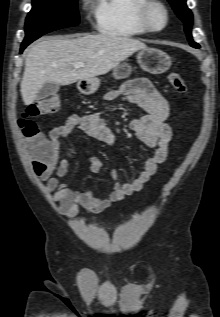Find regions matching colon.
Here are the masks:
<instances>
[{
	"mask_svg": "<svg viewBox=\"0 0 220 317\" xmlns=\"http://www.w3.org/2000/svg\"><path fill=\"white\" fill-rule=\"evenodd\" d=\"M168 81L178 93L187 94V86L179 73H169ZM60 104V98L57 95L46 96L29 106L17 121L25 146L33 159L34 168H45L51 162L53 153L51 141L39 128L35 118L55 113L59 110Z\"/></svg>",
	"mask_w": 220,
	"mask_h": 317,
	"instance_id": "1",
	"label": "colon"
}]
</instances>
